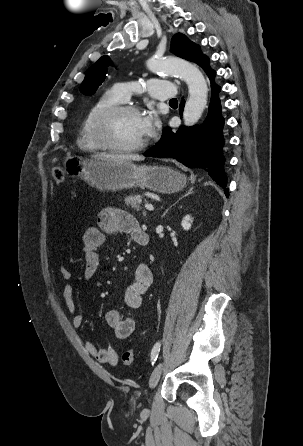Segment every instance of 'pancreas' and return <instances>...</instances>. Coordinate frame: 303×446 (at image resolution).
<instances>
[{
	"label": "pancreas",
	"mask_w": 303,
	"mask_h": 446,
	"mask_svg": "<svg viewBox=\"0 0 303 446\" xmlns=\"http://www.w3.org/2000/svg\"><path fill=\"white\" fill-rule=\"evenodd\" d=\"M142 202L140 195H129L125 197V203L136 210H141L140 204Z\"/></svg>",
	"instance_id": "cf45deb5"
}]
</instances>
